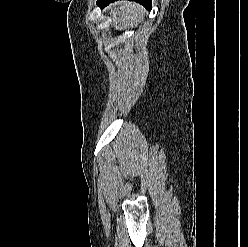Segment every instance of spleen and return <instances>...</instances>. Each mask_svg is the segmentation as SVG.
I'll return each mask as SVG.
<instances>
[{"instance_id":"spleen-1","label":"spleen","mask_w":248,"mask_h":247,"mask_svg":"<svg viewBox=\"0 0 248 247\" xmlns=\"http://www.w3.org/2000/svg\"><path fill=\"white\" fill-rule=\"evenodd\" d=\"M113 26L117 30L133 28L143 20L142 9L135 3L123 2L110 9Z\"/></svg>"}]
</instances>
